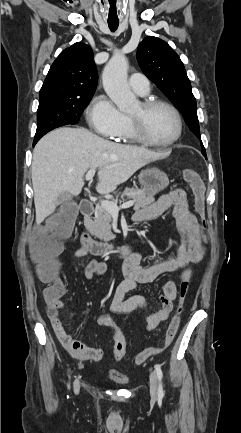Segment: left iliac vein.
Segmentation results:
<instances>
[{"label": "left iliac vein", "instance_id": "obj_1", "mask_svg": "<svg viewBox=\"0 0 241 433\" xmlns=\"http://www.w3.org/2000/svg\"><path fill=\"white\" fill-rule=\"evenodd\" d=\"M150 395L153 400L157 399L158 396V381L157 375L155 372H151L150 374Z\"/></svg>", "mask_w": 241, "mask_h": 433}]
</instances>
